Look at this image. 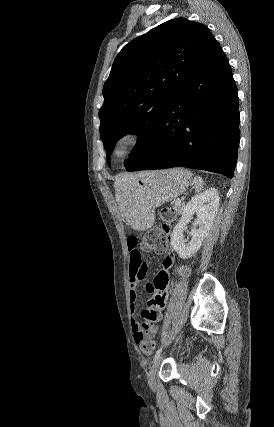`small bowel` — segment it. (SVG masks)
<instances>
[{"instance_id":"small-bowel-1","label":"small bowel","mask_w":274,"mask_h":427,"mask_svg":"<svg viewBox=\"0 0 274 427\" xmlns=\"http://www.w3.org/2000/svg\"><path fill=\"white\" fill-rule=\"evenodd\" d=\"M126 250L131 253L129 256V280H130V308H131V323L134 331V340L136 344L141 345L144 338H151V336L158 335V328L154 327V320H163L166 304L165 301H152L147 299L142 302L143 310L154 311H141L138 322L135 318V313L140 305V297L137 292V285L144 278L148 268L149 262L144 260L139 252H136V246L129 244ZM160 256H165L166 251H159ZM173 256L168 255L165 259L162 269H156L152 280H147L146 287L149 294H154L155 298H164L167 292V284H173V275H168V269L173 263ZM145 327V333L140 329Z\"/></svg>"}]
</instances>
